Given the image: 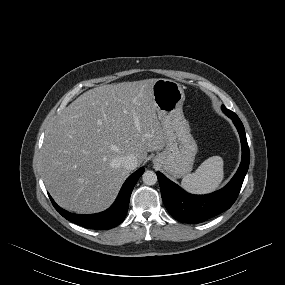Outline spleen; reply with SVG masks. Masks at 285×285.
Segmentation results:
<instances>
[{"instance_id": "1", "label": "spleen", "mask_w": 285, "mask_h": 285, "mask_svg": "<svg viewBox=\"0 0 285 285\" xmlns=\"http://www.w3.org/2000/svg\"><path fill=\"white\" fill-rule=\"evenodd\" d=\"M223 159L212 156L205 160L198 169L184 176L182 186L193 194H206L215 191L224 178Z\"/></svg>"}]
</instances>
